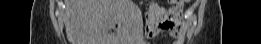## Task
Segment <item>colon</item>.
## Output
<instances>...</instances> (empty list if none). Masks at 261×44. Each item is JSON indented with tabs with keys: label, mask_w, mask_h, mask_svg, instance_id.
<instances>
[{
	"label": "colon",
	"mask_w": 261,
	"mask_h": 44,
	"mask_svg": "<svg viewBox=\"0 0 261 44\" xmlns=\"http://www.w3.org/2000/svg\"><path fill=\"white\" fill-rule=\"evenodd\" d=\"M172 4H175L176 6H184L187 2L186 0H173L170 1Z\"/></svg>",
	"instance_id": "colon-1"
}]
</instances>
